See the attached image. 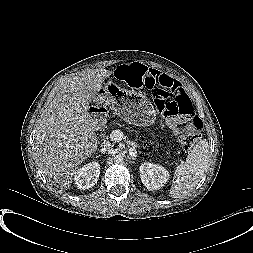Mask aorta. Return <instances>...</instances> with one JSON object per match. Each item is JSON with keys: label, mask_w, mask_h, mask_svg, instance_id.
<instances>
[{"label": "aorta", "mask_w": 253, "mask_h": 253, "mask_svg": "<svg viewBox=\"0 0 253 253\" xmlns=\"http://www.w3.org/2000/svg\"><path fill=\"white\" fill-rule=\"evenodd\" d=\"M114 161L116 163H121L123 161V156L121 154H117L114 156Z\"/></svg>", "instance_id": "1"}]
</instances>
